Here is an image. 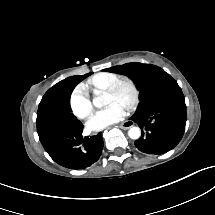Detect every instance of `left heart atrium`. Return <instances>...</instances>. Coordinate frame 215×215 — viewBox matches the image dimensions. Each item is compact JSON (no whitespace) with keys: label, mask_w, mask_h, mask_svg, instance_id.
Wrapping results in <instances>:
<instances>
[{"label":"left heart atrium","mask_w":215,"mask_h":215,"mask_svg":"<svg viewBox=\"0 0 215 215\" xmlns=\"http://www.w3.org/2000/svg\"><path fill=\"white\" fill-rule=\"evenodd\" d=\"M124 115V110L120 106L108 107L93 115L89 119V124L95 130H102L105 126L118 123Z\"/></svg>","instance_id":"39dd6f15"}]
</instances>
